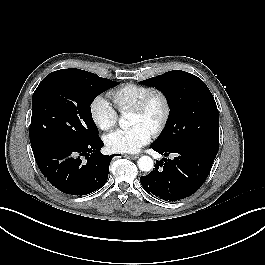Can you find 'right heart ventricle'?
Masks as SVG:
<instances>
[{
	"instance_id": "right-heart-ventricle-1",
	"label": "right heart ventricle",
	"mask_w": 265,
	"mask_h": 265,
	"mask_svg": "<svg viewBox=\"0 0 265 265\" xmlns=\"http://www.w3.org/2000/svg\"><path fill=\"white\" fill-rule=\"evenodd\" d=\"M152 88L142 84L128 83L113 90L110 95L120 111L130 110Z\"/></svg>"
}]
</instances>
